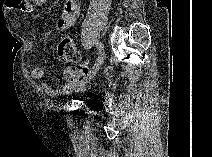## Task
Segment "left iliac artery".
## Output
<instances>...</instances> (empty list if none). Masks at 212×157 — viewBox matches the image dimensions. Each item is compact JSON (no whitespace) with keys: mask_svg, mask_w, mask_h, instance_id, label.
<instances>
[{"mask_svg":"<svg viewBox=\"0 0 212 157\" xmlns=\"http://www.w3.org/2000/svg\"><path fill=\"white\" fill-rule=\"evenodd\" d=\"M96 47H97V50H98V53L101 54L104 52V46L102 45L101 42L97 41L96 42Z\"/></svg>","mask_w":212,"mask_h":157,"instance_id":"44dca946","label":"left iliac artery"}]
</instances>
